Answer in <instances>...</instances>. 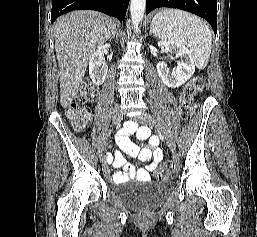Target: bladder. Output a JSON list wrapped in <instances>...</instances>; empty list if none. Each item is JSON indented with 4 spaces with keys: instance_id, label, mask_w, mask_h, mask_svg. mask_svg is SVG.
<instances>
[{
    "instance_id": "obj_1",
    "label": "bladder",
    "mask_w": 257,
    "mask_h": 237,
    "mask_svg": "<svg viewBox=\"0 0 257 237\" xmlns=\"http://www.w3.org/2000/svg\"><path fill=\"white\" fill-rule=\"evenodd\" d=\"M144 182H146L145 187L129 190L121 196L122 202L131 209L152 210L158 207L166 198L167 194L172 190L171 180H155Z\"/></svg>"
}]
</instances>
